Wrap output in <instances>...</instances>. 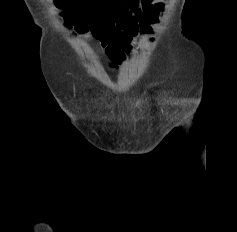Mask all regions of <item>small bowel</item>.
Returning <instances> with one entry per match:
<instances>
[{"label": "small bowel", "instance_id": "obj_1", "mask_svg": "<svg viewBox=\"0 0 237 232\" xmlns=\"http://www.w3.org/2000/svg\"><path fill=\"white\" fill-rule=\"evenodd\" d=\"M164 3L162 0H145L137 9L120 17L108 19L102 29L91 34L114 66L122 64L130 54L139 36L154 39ZM86 35L85 39H89Z\"/></svg>", "mask_w": 237, "mask_h": 232}]
</instances>
